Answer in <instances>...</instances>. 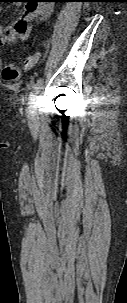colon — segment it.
I'll return each instance as SVG.
<instances>
[{"mask_svg": "<svg viewBox=\"0 0 127 303\" xmlns=\"http://www.w3.org/2000/svg\"><path fill=\"white\" fill-rule=\"evenodd\" d=\"M39 59V54L34 53L29 56L24 64L25 68H29ZM21 69L15 64H9L3 69V78L7 81H17L20 78Z\"/></svg>", "mask_w": 127, "mask_h": 303, "instance_id": "5ec220e1", "label": "colon"}]
</instances>
